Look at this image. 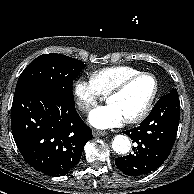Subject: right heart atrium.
Returning <instances> with one entry per match:
<instances>
[{
  "label": "right heart atrium",
  "instance_id": "d8ad5b80",
  "mask_svg": "<svg viewBox=\"0 0 194 194\" xmlns=\"http://www.w3.org/2000/svg\"><path fill=\"white\" fill-rule=\"evenodd\" d=\"M72 92L76 106L84 113L90 112L99 101L100 95L92 82L83 77L74 82Z\"/></svg>",
  "mask_w": 194,
  "mask_h": 194
}]
</instances>
